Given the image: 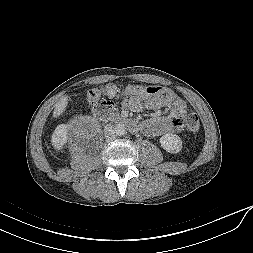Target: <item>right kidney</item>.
Wrapping results in <instances>:
<instances>
[{"mask_svg":"<svg viewBox=\"0 0 253 253\" xmlns=\"http://www.w3.org/2000/svg\"><path fill=\"white\" fill-rule=\"evenodd\" d=\"M68 140V130L65 125H59L54 133L52 134V145L53 147L59 151L63 148V146L67 143Z\"/></svg>","mask_w":253,"mask_h":253,"instance_id":"ca27d5eb","label":"right kidney"}]
</instances>
